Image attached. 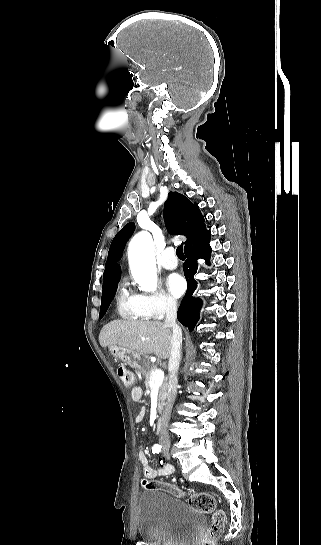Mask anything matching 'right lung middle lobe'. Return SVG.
Returning <instances> with one entry per match:
<instances>
[{"label":"right lung middle lobe","mask_w":321,"mask_h":545,"mask_svg":"<svg viewBox=\"0 0 321 545\" xmlns=\"http://www.w3.org/2000/svg\"><path fill=\"white\" fill-rule=\"evenodd\" d=\"M116 289H117V285L106 288L102 291V302H101L100 314H99L100 318H102L105 315L111 303V300L113 299L115 295Z\"/></svg>","instance_id":"dd1d6c3e"}]
</instances>
